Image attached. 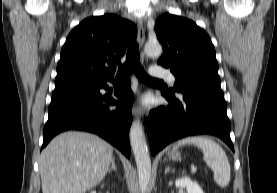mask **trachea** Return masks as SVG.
Returning <instances> with one entry per match:
<instances>
[{"label":"trachea","instance_id":"3493384b","mask_svg":"<svg viewBox=\"0 0 277 193\" xmlns=\"http://www.w3.org/2000/svg\"><path fill=\"white\" fill-rule=\"evenodd\" d=\"M134 73L139 80L145 83H162L163 81L151 78L146 74L140 63L139 45L133 42L127 52V58L124 65L118 67L116 81H122L130 74Z\"/></svg>","mask_w":277,"mask_h":193}]
</instances>
